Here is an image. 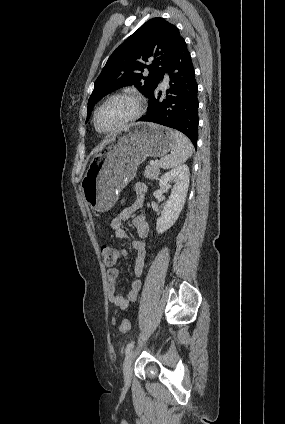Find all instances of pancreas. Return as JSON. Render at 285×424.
Here are the masks:
<instances>
[{
    "label": "pancreas",
    "instance_id": "1",
    "mask_svg": "<svg viewBox=\"0 0 285 424\" xmlns=\"http://www.w3.org/2000/svg\"><path fill=\"white\" fill-rule=\"evenodd\" d=\"M159 172V163L155 162L154 164L146 166L144 176L148 179H157L159 176Z\"/></svg>",
    "mask_w": 285,
    "mask_h": 424
}]
</instances>
